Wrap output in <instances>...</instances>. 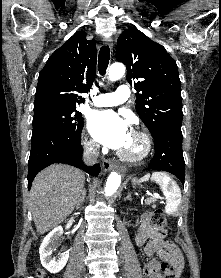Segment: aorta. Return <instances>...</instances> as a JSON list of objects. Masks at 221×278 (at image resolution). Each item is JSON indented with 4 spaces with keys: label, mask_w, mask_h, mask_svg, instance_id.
I'll use <instances>...</instances> for the list:
<instances>
[{
    "label": "aorta",
    "mask_w": 221,
    "mask_h": 278,
    "mask_svg": "<svg viewBox=\"0 0 221 278\" xmlns=\"http://www.w3.org/2000/svg\"><path fill=\"white\" fill-rule=\"evenodd\" d=\"M125 74V66L122 63H113L108 71V77L110 81H117ZM121 184V175L113 171L106 182L105 195H113Z\"/></svg>",
    "instance_id": "aorta-1"
}]
</instances>
